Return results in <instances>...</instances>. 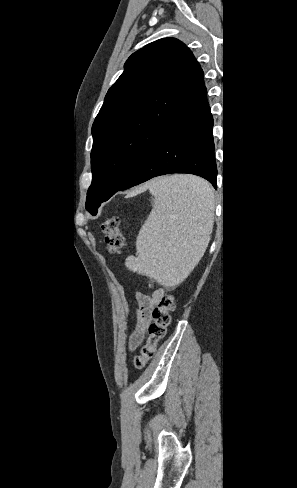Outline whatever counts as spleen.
Returning <instances> with one entry per match:
<instances>
[{"label": "spleen", "mask_w": 297, "mask_h": 488, "mask_svg": "<svg viewBox=\"0 0 297 488\" xmlns=\"http://www.w3.org/2000/svg\"><path fill=\"white\" fill-rule=\"evenodd\" d=\"M149 191L155 203L138 234L137 257L129 256L126 266L161 284L181 281L212 230V189L201 178L173 175L154 179Z\"/></svg>", "instance_id": "1"}]
</instances>
